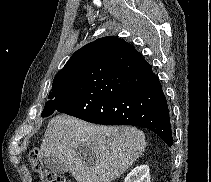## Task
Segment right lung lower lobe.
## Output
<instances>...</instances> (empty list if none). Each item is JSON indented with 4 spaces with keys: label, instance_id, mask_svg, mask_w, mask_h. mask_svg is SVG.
Returning a JSON list of instances; mask_svg holds the SVG:
<instances>
[{
    "label": "right lung lower lobe",
    "instance_id": "98d812e1",
    "mask_svg": "<svg viewBox=\"0 0 211 182\" xmlns=\"http://www.w3.org/2000/svg\"><path fill=\"white\" fill-rule=\"evenodd\" d=\"M55 111L102 125L147 128L172 146L166 97L142 55L116 37L94 41L75 90L55 102Z\"/></svg>",
    "mask_w": 211,
    "mask_h": 182
}]
</instances>
